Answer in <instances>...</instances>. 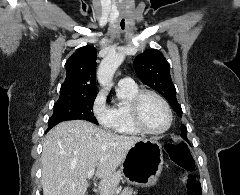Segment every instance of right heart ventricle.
Masks as SVG:
<instances>
[{
  "mask_svg": "<svg viewBox=\"0 0 240 195\" xmlns=\"http://www.w3.org/2000/svg\"><path fill=\"white\" fill-rule=\"evenodd\" d=\"M139 91L135 83H120L118 86V100L112 107L113 117L103 124L107 131H114L117 136L140 135L141 132L134 125L131 116V102Z\"/></svg>",
  "mask_w": 240,
  "mask_h": 195,
  "instance_id": "e07e8e85",
  "label": "right heart ventricle"
}]
</instances>
